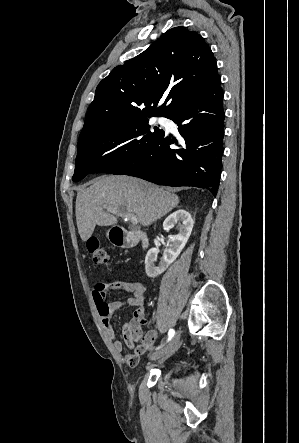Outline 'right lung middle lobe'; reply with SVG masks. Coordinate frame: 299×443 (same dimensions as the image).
Listing matches in <instances>:
<instances>
[{
  "label": "right lung middle lobe",
  "instance_id": "obj_1",
  "mask_svg": "<svg viewBox=\"0 0 299 443\" xmlns=\"http://www.w3.org/2000/svg\"><path fill=\"white\" fill-rule=\"evenodd\" d=\"M150 128L147 117L122 121L99 128L78 140L73 181L89 173H114L142 157L163 134Z\"/></svg>",
  "mask_w": 299,
  "mask_h": 443
}]
</instances>
